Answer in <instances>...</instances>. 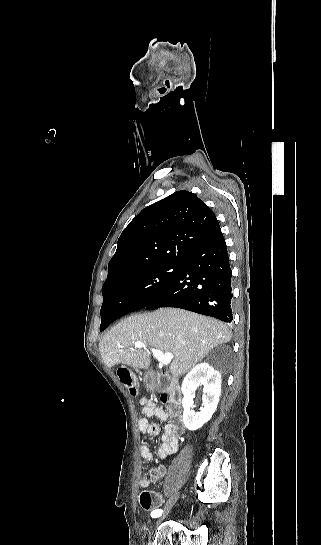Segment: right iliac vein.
<instances>
[{
  "label": "right iliac vein",
  "instance_id": "1",
  "mask_svg": "<svg viewBox=\"0 0 321 545\" xmlns=\"http://www.w3.org/2000/svg\"><path fill=\"white\" fill-rule=\"evenodd\" d=\"M178 497H179V492H178V491H175V492L171 495V497H170V499H169V501H168L166 507L164 508L165 513L160 517L159 522H160L161 520H163V519L166 517L167 512H168L169 509L173 506V504L177 501Z\"/></svg>",
  "mask_w": 321,
  "mask_h": 545
}]
</instances>
